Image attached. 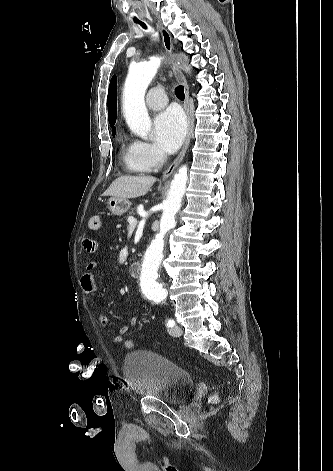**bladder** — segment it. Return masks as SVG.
<instances>
[{
	"label": "bladder",
	"mask_w": 333,
	"mask_h": 471,
	"mask_svg": "<svg viewBox=\"0 0 333 471\" xmlns=\"http://www.w3.org/2000/svg\"><path fill=\"white\" fill-rule=\"evenodd\" d=\"M123 373L135 394L170 405L186 401L194 388L189 372L152 351L138 350L127 354Z\"/></svg>",
	"instance_id": "31cf9c89"
}]
</instances>
